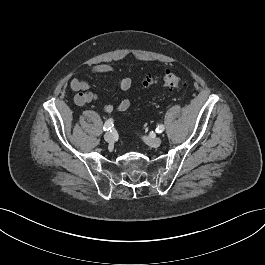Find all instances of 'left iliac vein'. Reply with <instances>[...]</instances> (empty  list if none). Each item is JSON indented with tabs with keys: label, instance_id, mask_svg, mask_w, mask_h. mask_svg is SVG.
<instances>
[{
	"label": "left iliac vein",
	"instance_id": "1",
	"mask_svg": "<svg viewBox=\"0 0 265 265\" xmlns=\"http://www.w3.org/2000/svg\"><path fill=\"white\" fill-rule=\"evenodd\" d=\"M143 139L151 147H159L162 142L160 137L145 136Z\"/></svg>",
	"mask_w": 265,
	"mask_h": 265
}]
</instances>
